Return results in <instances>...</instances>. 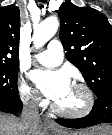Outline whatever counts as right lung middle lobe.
Here are the masks:
<instances>
[{"label":"right lung middle lobe","instance_id":"dd1d6c3e","mask_svg":"<svg viewBox=\"0 0 112 135\" xmlns=\"http://www.w3.org/2000/svg\"><path fill=\"white\" fill-rule=\"evenodd\" d=\"M18 62H0V99L20 101L17 89Z\"/></svg>","mask_w":112,"mask_h":135}]
</instances>
